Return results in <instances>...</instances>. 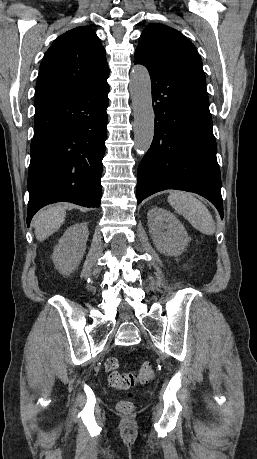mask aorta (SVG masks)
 Wrapping results in <instances>:
<instances>
[{"instance_id": "762f6f07", "label": "aorta", "mask_w": 257, "mask_h": 459, "mask_svg": "<svg viewBox=\"0 0 257 459\" xmlns=\"http://www.w3.org/2000/svg\"><path fill=\"white\" fill-rule=\"evenodd\" d=\"M129 87L134 112L135 150L143 155L150 148L154 135L151 79L145 66L135 65L132 68Z\"/></svg>"}]
</instances>
